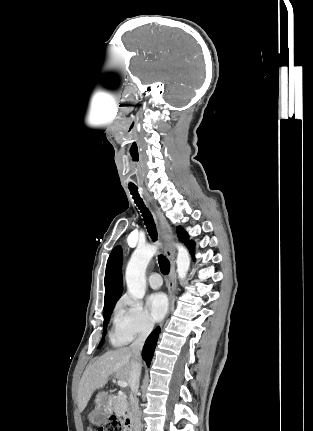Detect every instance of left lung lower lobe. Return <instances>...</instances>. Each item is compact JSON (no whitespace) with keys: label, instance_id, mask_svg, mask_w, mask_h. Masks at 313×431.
I'll list each match as a JSON object with an SVG mask.
<instances>
[{"label":"left lung lower lobe","instance_id":"1","mask_svg":"<svg viewBox=\"0 0 313 431\" xmlns=\"http://www.w3.org/2000/svg\"><path fill=\"white\" fill-rule=\"evenodd\" d=\"M186 246L189 248V250H190V252H191V254H192L193 258H194V244H193V242H192V241H189V242L186 244Z\"/></svg>","mask_w":313,"mask_h":431}]
</instances>
